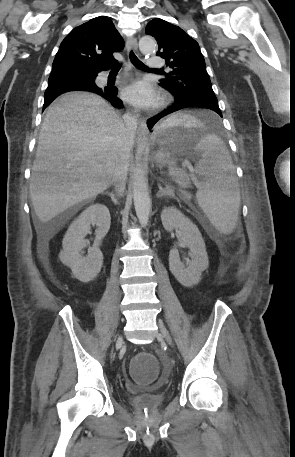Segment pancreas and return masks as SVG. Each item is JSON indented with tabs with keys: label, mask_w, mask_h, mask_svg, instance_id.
<instances>
[{
	"label": "pancreas",
	"mask_w": 295,
	"mask_h": 457,
	"mask_svg": "<svg viewBox=\"0 0 295 457\" xmlns=\"http://www.w3.org/2000/svg\"><path fill=\"white\" fill-rule=\"evenodd\" d=\"M183 194H184L183 200H188L190 198V194H188L186 192H183Z\"/></svg>",
	"instance_id": "1"
}]
</instances>
